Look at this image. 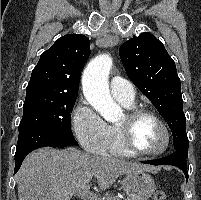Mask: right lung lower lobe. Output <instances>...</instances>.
Here are the masks:
<instances>
[{
  "instance_id": "98d812e1",
  "label": "right lung lower lobe",
  "mask_w": 201,
  "mask_h": 200,
  "mask_svg": "<svg viewBox=\"0 0 201 200\" xmlns=\"http://www.w3.org/2000/svg\"><path fill=\"white\" fill-rule=\"evenodd\" d=\"M78 145L73 135L63 134L51 128L30 127L19 130L15 152V171L19 170L24 158L31 151L40 147H66Z\"/></svg>"
}]
</instances>
